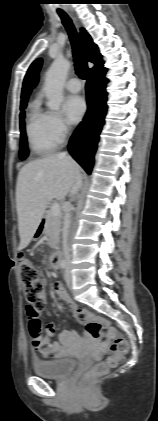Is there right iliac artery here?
Returning <instances> with one entry per match:
<instances>
[{"label": "right iliac artery", "mask_w": 158, "mask_h": 421, "mask_svg": "<svg viewBox=\"0 0 158 421\" xmlns=\"http://www.w3.org/2000/svg\"><path fill=\"white\" fill-rule=\"evenodd\" d=\"M61 269H65L67 267V262L63 260L60 264Z\"/></svg>", "instance_id": "82829eb1"}]
</instances>
